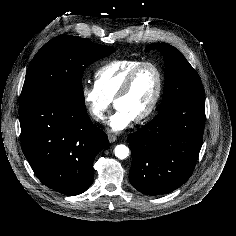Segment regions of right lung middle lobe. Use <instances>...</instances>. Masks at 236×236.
I'll return each mask as SVG.
<instances>
[{"label":"right lung middle lobe","mask_w":236,"mask_h":236,"mask_svg":"<svg viewBox=\"0 0 236 236\" xmlns=\"http://www.w3.org/2000/svg\"><path fill=\"white\" fill-rule=\"evenodd\" d=\"M114 51L113 47L75 36L53 38L31 61L20 102L36 96H52L82 104L81 81L85 68Z\"/></svg>","instance_id":"1"}]
</instances>
